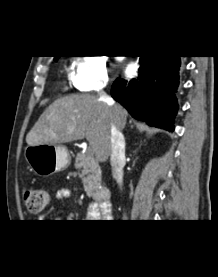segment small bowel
<instances>
[{"mask_svg":"<svg viewBox=\"0 0 218 277\" xmlns=\"http://www.w3.org/2000/svg\"><path fill=\"white\" fill-rule=\"evenodd\" d=\"M72 197V192L68 189H61L56 193L55 199L57 204H61L65 200ZM57 210V207H53L51 209V212H55ZM88 217L90 219H98L101 217V212L95 207L94 205H90L88 207Z\"/></svg>","mask_w":218,"mask_h":277,"instance_id":"obj_1","label":"small bowel"}]
</instances>
